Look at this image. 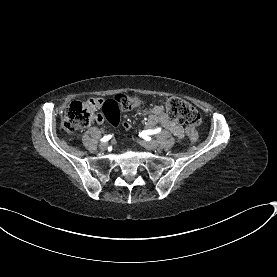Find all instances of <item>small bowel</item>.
Masks as SVG:
<instances>
[{
	"instance_id": "1",
	"label": "small bowel",
	"mask_w": 277,
	"mask_h": 277,
	"mask_svg": "<svg viewBox=\"0 0 277 277\" xmlns=\"http://www.w3.org/2000/svg\"><path fill=\"white\" fill-rule=\"evenodd\" d=\"M148 124L150 126L162 125L165 129L174 134L177 138H182L184 136V129L181 125L172 121L168 115L164 112V107L162 105H155L149 110ZM126 128L129 125L125 124Z\"/></svg>"
}]
</instances>
